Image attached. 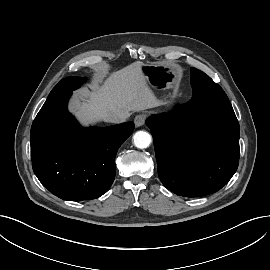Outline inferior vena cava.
Returning a JSON list of instances; mask_svg holds the SVG:
<instances>
[{"instance_id":"obj_1","label":"inferior vena cava","mask_w":270,"mask_h":270,"mask_svg":"<svg viewBox=\"0 0 270 270\" xmlns=\"http://www.w3.org/2000/svg\"><path fill=\"white\" fill-rule=\"evenodd\" d=\"M129 117L128 112L123 111H113L106 115L105 119L108 122L119 124L126 121V119Z\"/></svg>"}]
</instances>
